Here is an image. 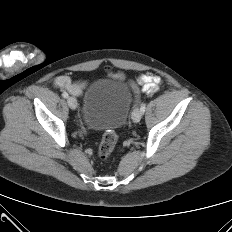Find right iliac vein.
<instances>
[{
    "instance_id": "63e3f726",
    "label": "right iliac vein",
    "mask_w": 232,
    "mask_h": 232,
    "mask_svg": "<svg viewBox=\"0 0 232 232\" xmlns=\"http://www.w3.org/2000/svg\"><path fill=\"white\" fill-rule=\"evenodd\" d=\"M67 102L71 109L75 110L77 108V100L74 97H69Z\"/></svg>"
}]
</instances>
